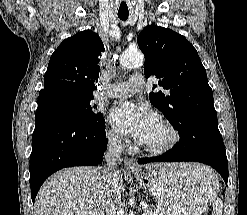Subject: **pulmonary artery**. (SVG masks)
<instances>
[{
  "instance_id": "e3ab8cb5",
  "label": "pulmonary artery",
  "mask_w": 247,
  "mask_h": 215,
  "mask_svg": "<svg viewBox=\"0 0 247 215\" xmlns=\"http://www.w3.org/2000/svg\"><path fill=\"white\" fill-rule=\"evenodd\" d=\"M145 87V80L143 76L134 75L131 76L128 81L113 84L107 90V95L115 98H125L138 91H141Z\"/></svg>"
}]
</instances>
